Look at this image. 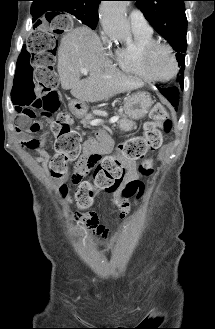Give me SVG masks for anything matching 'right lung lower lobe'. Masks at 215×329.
<instances>
[{"instance_id":"right-lung-lower-lobe-1","label":"right lung lower lobe","mask_w":215,"mask_h":329,"mask_svg":"<svg viewBox=\"0 0 215 329\" xmlns=\"http://www.w3.org/2000/svg\"><path fill=\"white\" fill-rule=\"evenodd\" d=\"M37 8V6H32L31 7V12L34 11Z\"/></svg>"}]
</instances>
